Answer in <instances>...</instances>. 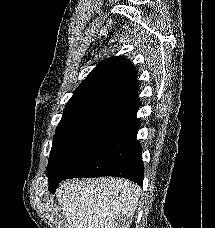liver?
<instances>
[{"label":"liver","instance_id":"1","mask_svg":"<svg viewBox=\"0 0 215 228\" xmlns=\"http://www.w3.org/2000/svg\"><path fill=\"white\" fill-rule=\"evenodd\" d=\"M140 190L125 178H74L55 196L72 228H130Z\"/></svg>","mask_w":215,"mask_h":228}]
</instances>
